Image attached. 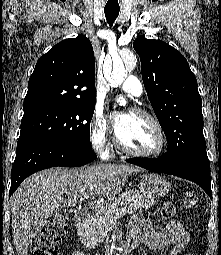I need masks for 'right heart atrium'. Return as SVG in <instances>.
I'll use <instances>...</instances> for the list:
<instances>
[{"label": "right heart atrium", "mask_w": 221, "mask_h": 255, "mask_svg": "<svg viewBox=\"0 0 221 255\" xmlns=\"http://www.w3.org/2000/svg\"><path fill=\"white\" fill-rule=\"evenodd\" d=\"M110 139V127L101 110H95L90 122V140L93 148L105 153Z\"/></svg>", "instance_id": "1"}]
</instances>
